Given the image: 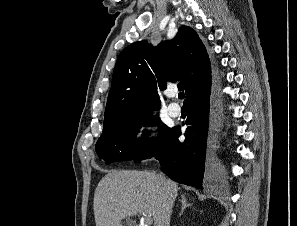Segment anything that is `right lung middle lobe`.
<instances>
[{"mask_svg":"<svg viewBox=\"0 0 297 226\" xmlns=\"http://www.w3.org/2000/svg\"><path fill=\"white\" fill-rule=\"evenodd\" d=\"M149 112L141 111L126 116H121L119 112L106 114L103 133L96 143V152L99 157L106 163L146 158L170 131V128L159 118L148 116ZM156 123L159 131L157 141L136 138L142 124L152 126Z\"/></svg>","mask_w":297,"mask_h":226,"instance_id":"dd1d6c3e","label":"right lung middle lobe"}]
</instances>
